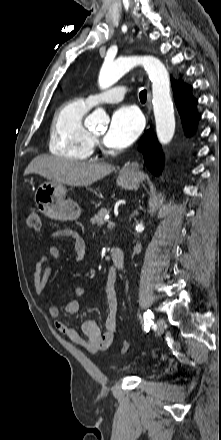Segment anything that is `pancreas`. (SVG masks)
Returning <instances> with one entry per match:
<instances>
[{"label":"pancreas","mask_w":221,"mask_h":440,"mask_svg":"<svg viewBox=\"0 0 221 440\" xmlns=\"http://www.w3.org/2000/svg\"><path fill=\"white\" fill-rule=\"evenodd\" d=\"M110 213L109 209L102 208L100 209L94 217L91 218L92 225L102 226L105 223V216Z\"/></svg>","instance_id":"obj_1"}]
</instances>
